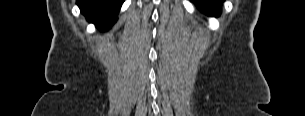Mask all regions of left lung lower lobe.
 Here are the masks:
<instances>
[{"instance_id":"1","label":"left lung lower lobe","mask_w":305,"mask_h":116,"mask_svg":"<svg viewBox=\"0 0 305 116\" xmlns=\"http://www.w3.org/2000/svg\"><path fill=\"white\" fill-rule=\"evenodd\" d=\"M192 2L206 15L219 16L223 0H192Z\"/></svg>"}]
</instances>
